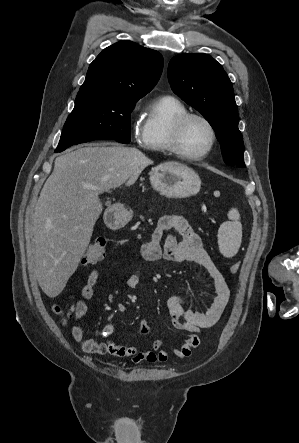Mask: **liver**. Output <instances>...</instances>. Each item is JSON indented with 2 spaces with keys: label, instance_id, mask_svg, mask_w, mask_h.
I'll return each instance as SVG.
<instances>
[{
  "label": "liver",
  "instance_id": "1",
  "mask_svg": "<svg viewBox=\"0 0 299 443\" xmlns=\"http://www.w3.org/2000/svg\"><path fill=\"white\" fill-rule=\"evenodd\" d=\"M151 164L140 150L120 145H89L56 158L33 217L35 275L48 297L63 291L86 251L103 211L99 194L135 182Z\"/></svg>",
  "mask_w": 299,
  "mask_h": 443
}]
</instances>
